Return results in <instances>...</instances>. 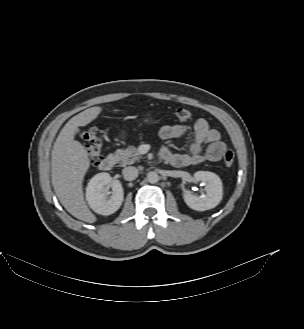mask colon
Wrapping results in <instances>:
<instances>
[{
    "mask_svg": "<svg viewBox=\"0 0 304 329\" xmlns=\"http://www.w3.org/2000/svg\"><path fill=\"white\" fill-rule=\"evenodd\" d=\"M177 120L186 122L192 118V112L186 108H177L174 112ZM82 138L86 143L89 159L92 164H97L101 159L102 143L98 135V129L90 126L82 133ZM235 154L231 149H226L223 154V161L230 166L234 163Z\"/></svg>",
    "mask_w": 304,
    "mask_h": 329,
    "instance_id": "5ec220e1",
    "label": "colon"
}]
</instances>
